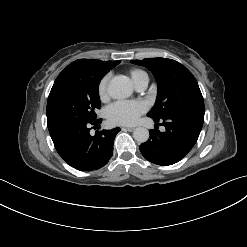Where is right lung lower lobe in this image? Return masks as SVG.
Listing matches in <instances>:
<instances>
[{
	"label": "right lung lower lobe",
	"instance_id": "obj_1",
	"mask_svg": "<svg viewBox=\"0 0 247 247\" xmlns=\"http://www.w3.org/2000/svg\"><path fill=\"white\" fill-rule=\"evenodd\" d=\"M70 122L52 131L50 136L58 154L70 166L80 171L97 170L106 165L113 154V142L120 128L102 130L90 135V125L101 123Z\"/></svg>",
	"mask_w": 247,
	"mask_h": 247
}]
</instances>
